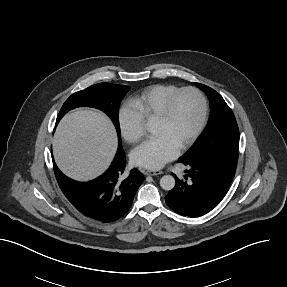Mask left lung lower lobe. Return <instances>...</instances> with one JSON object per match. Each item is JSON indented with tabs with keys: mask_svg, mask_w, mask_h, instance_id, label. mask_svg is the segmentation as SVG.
Listing matches in <instances>:
<instances>
[{
	"mask_svg": "<svg viewBox=\"0 0 287 287\" xmlns=\"http://www.w3.org/2000/svg\"><path fill=\"white\" fill-rule=\"evenodd\" d=\"M190 182L176 179L175 187L165 196L167 205L176 213L199 217L215 208L225 196L236 169L206 163L184 164Z\"/></svg>",
	"mask_w": 287,
	"mask_h": 287,
	"instance_id": "0a47b994",
	"label": "left lung lower lobe"
}]
</instances>
